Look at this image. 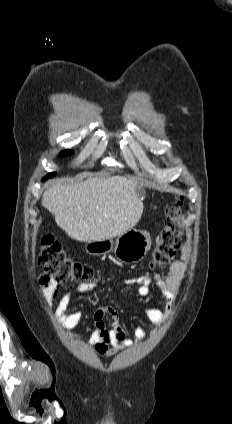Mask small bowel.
<instances>
[{
  "label": "small bowel",
  "mask_w": 232,
  "mask_h": 424,
  "mask_svg": "<svg viewBox=\"0 0 232 424\" xmlns=\"http://www.w3.org/2000/svg\"><path fill=\"white\" fill-rule=\"evenodd\" d=\"M191 257V249L187 242L181 245V257L179 260L171 263L169 272L166 275L156 273L153 276L140 275L131 277L127 282L137 286V292L140 296L146 297L151 294V286L155 285L166 300L164 309L155 306H145L143 312L146 318L153 324L160 325L167 321L173 311L175 300L180 286L186 274V270ZM97 285L93 282H84L77 286L80 293H92ZM60 291V284H54L50 288V294L56 296ZM70 293H61L55 314L58 322L63 327H74L78 325L83 317L81 311L69 312ZM109 316L111 326L105 323V317ZM94 328L91 331L89 343L95 351L104 357H111L116 352L129 347L132 344L127 338V334L119 324V313L113 307H101L93 315ZM134 337L137 342L145 337L142 327H136Z\"/></svg>",
  "instance_id": "small-bowel-1"
}]
</instances>
